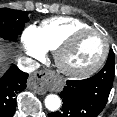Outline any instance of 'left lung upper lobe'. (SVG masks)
I'll use <instances>...</instances> for the list:
<instances>
[{
  "mask_svg": "<svg viewBox=\"0 0 117 117\" xmlns=\"http://www.w3.org/2000/svg\"><path fill=\"white\" fill-rule=\"evenodd\" d=\"M114 69H115L114 52H113V50H110L107 62L104 66V70H110L111 74L114 75Z\"/></svg>",
  "mask_w": 117,
  "mask_h": 117,
  "instance_id": "5c2ea615",
  "label": "left lung upper lobe"
}]
</instances>
